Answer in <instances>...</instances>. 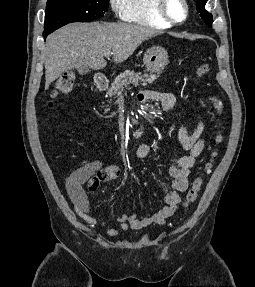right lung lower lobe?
<instances>
[{
  "label": "right lung lower lobe",
  "mask_w": 255,
  "mask_h": 287,
  "mask_svg": "<svg viewBox=\"0 0 255 287\" xmlns=\"http://www.w3.org/2000/svg\"><path fill=\"white\" fill-rule=\"evenodd\" d=\"M50 33H43V35L45 36V38L49 35Z\"/></svg>",
  "instance_id": "obj_1"
}]
</instances>
